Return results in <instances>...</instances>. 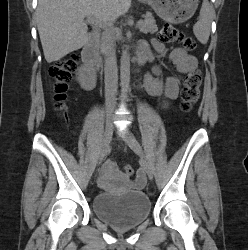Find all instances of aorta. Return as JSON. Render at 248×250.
<instances>
[{"label": "aorta", "instance_id": "1", "mask_svg": "<svg viewBox=\"0 0 248 250\" xmlns=\"http://www.w3.org/2000/svg\"><path fill=\"white\" fill-rule=\"evenodd\" d=\"M120 85L123 98H127L130 87V56L127 49L123 50L120 66Z\"/></svg>", "mask_w": 248, "mask_h": 250}]
</instances>
